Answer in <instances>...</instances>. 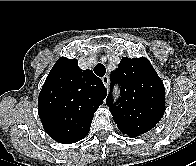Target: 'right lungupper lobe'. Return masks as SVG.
Instances as JSON below:
<instances>
[{"label":"right lung upper lobe","instance_id":"obj_1","mask_svg":"<svg viewBox=\"0 0 196 166\" xmlns=\"http://www.w3.org/2000/svg\"><path fill=\"white\" fill-rule=\"evenodd\" d=\"M106 95L101 79L91 70H81L76 59H58L38 99V114L45 132L63 144L82 140Z\"/></svg>","mask_w":196,"mask_h":166}]
</instances>
